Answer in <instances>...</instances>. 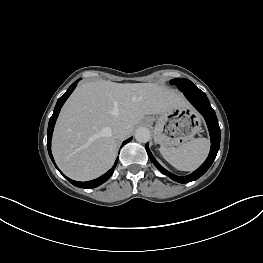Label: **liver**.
Segmentation results:
<instances>
[{
    "label": "liver",
    "mask_w": 263,
    "mask_h": 263,
    "mask_svg": "<svg viewBox=\"0 0 263 263\" xmlns=\"http://www.w3.org/2000/svg\"><path fill=\"white\" fill-rule=\"evenodd\" d=\"M183 105L181 93L158 84H81L56 122L52 139L55 161L71 179H95L109 170L116 158L117 139L112 128L117 123L126 126L128 136L145 115H161Z\"/></svg>",
    "instance_id": "liver-1"
}]
</instances>
